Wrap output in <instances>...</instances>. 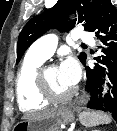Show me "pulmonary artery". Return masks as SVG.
<instances>
[{
	"mask_svg": "<svg viewBox=\"0 0 117 131\" xmlns=\"http://www.w3.org/2000/svg\"><path fill=\"white\" fill-rule=\"evenodd\" d=\"M76 37L84 43L92 44L94 42L91 33L77 30ZM57 46V37L54 34H49L38 39L27 51L26 57L46 60L52 56Z\"/></svg>",
	"mask_w": 117,
	"mask_h": 131,
	"instance_id": "1",
	"label": "pulmonary artery"
}]
</instances>
